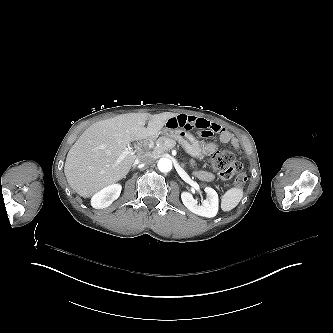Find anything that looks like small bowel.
Here are the masks:
<instances>
[{
  "mask_svg": "<svg viewBox=\"0 0 333 333\" xmlns=\"http://www.w3.org/2000/svg\"><path fill=\"white\" fill-rule=\"evenodd\" d=\"M167 127L169 129L183 128L196 130L197 135L201 137H210L214 134H220V141L222 143L231 144L235 151L240 149V143L232 133L222 129V127L218 124L197 116L187 114L175 115L167 121ZM216 149L217 146L214 143H209L205 146V151L207 153H213ZM197 176L202 180L211 179V175L205 172H198Z\"/></svg>",
  "mask_w": 333,
  "mask_h": 333,
  "instance_id": "small-bowel-1",
  "label": "small bowel"
}]
</instances>
